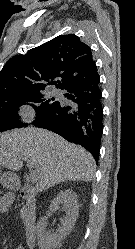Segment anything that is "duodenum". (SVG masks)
I'll list each match as a JSON object with an SVG mask.
<instances>
[{"label":"duodenum","mask_w":135,"mask_h":249,"mask_svg":"<svg viewBox=\"0 0 135 249\" xmlns=\"http://www.w3.org/2000/svg\"><path fill=\"white\" fill-rule=\"evenodd\" d=\"M20 195L23 199H25L27 201V203L30 206H33L35 203V192L31 187H22L20 190ZM34 216L35 214L32 213L30 215V218L27 222V227L30 229L29 232V239H30V243L33 244L34 243V239H33V234H32V228L34 227Z\"/></svg>","instance_id":"obj_1"}]
</instances>
